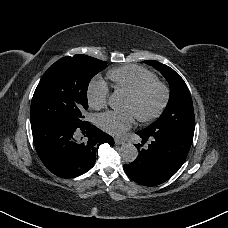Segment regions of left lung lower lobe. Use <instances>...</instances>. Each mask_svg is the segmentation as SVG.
I'll list each match as a JSON object with an SVG mask.
<instances>
[{
    "label": "left lung lower lobe",
    "mask_w": 228,
    "mask_h": 228,
    "mask_svg": "<svg viewBox=\"0 0 228 228\" xmlns=\"http://www.w3.org/2000/svg\"><path fill=\"white\" fill-rule=\"evenodd\" d=\"M142 144L136 145L139 154L135 161L124 165V171L135 182L156 186L170 179L183 165L193 136L156 130L136 132Z\"/></svg>",
    "instance_id": "obj_1"
}]
</instances>
